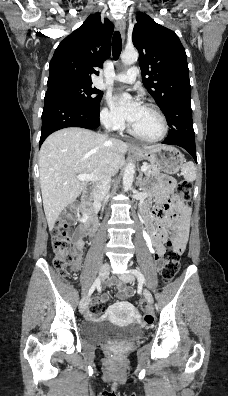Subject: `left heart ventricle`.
Listing matches in <instances>:
<instances>
[{"mask_svg":"<svg viewBox=\"0 0 228 396\" xmlns=\"http://www.w3.org/2000/svg\"><path fill=\"white\" fill-rule=\"evenodd\" d=\"M132 125L140 135L148 138L158 136L162 130L158 116L144 107L141 108L136 121Z\"/></svg>","mask_w":228,"mask_h":396,"instance_id":"b2bd125f","label":"left heart ventricle"}]
</instances>
